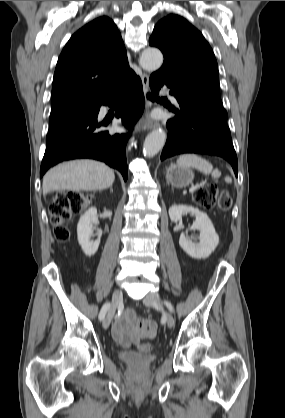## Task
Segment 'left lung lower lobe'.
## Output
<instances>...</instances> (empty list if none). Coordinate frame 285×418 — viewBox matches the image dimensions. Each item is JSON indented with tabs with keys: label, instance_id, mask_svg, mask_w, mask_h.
<instances>
[{
	"label": "left lung lower lobe",
	"instance_id": "0a47b994",
	"mask_svg": "<svg viewBox=\"0 0 285 418\" xmlns=\"http://www.w3.org/2000/svg\"><path fill=\"white\" fill-rule=\"evenodd\" d=\"M149 84L154 93L167 85L180 105L171 109L177 115L166 123L168 137L160 159L183 153L217 155L231 164L237 176V156L223 106L180 92L161 75H152Z\"/></svg>",
	"mask_w": 285,
	"mask_h": 418
}]
</instances>
